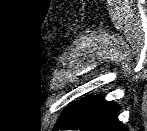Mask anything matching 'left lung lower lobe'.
I'll use <instances>...</instances> for the list:
<instances>
[{
  "label": "left lung lower lobe",
  "instance_id": "obj_1",
  "mask_svg": "<svg viewBox=\"0 0 147 131\" xmlns=\"http://www.w3.org/2000/svg\"><path fill=\"white\" fill-rule=\"evenodd\" d=\"M118 106L106 102L103 97L89 99L73 116L65 122L56 124L59 129H76L83 131H127L118 121Z\"/></svg>",
  "mask_w": 147,
  "mask_h": 131
}]
</instances>
